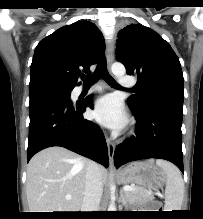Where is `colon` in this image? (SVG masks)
I'll return each mask as SVG.
<instances>
[{
	"instance_id": "colon-1",
	"label": "colon",
	"mask_w": 203,
	"mask_h": 219,
	"mask_svg": "<svg viewBox=\"0 0 203 219\" xmlns=\"http://www.w3.org/2000/svg\"><path fill=\"white\" fill-rule=\"evenodd\" d=\"M152 208H153L155 211H160L161 208H162L161 202H159V201H154V202L152 203Z\"/></svg>"
}]
</instances>
